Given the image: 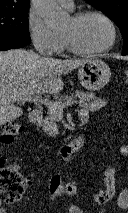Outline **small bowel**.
<instances>
[{
    "instance_id": "small-bowel-1",
    "label": "small bowel",
    "mask_w": 128,
    "mask_h": 213,
    "mask_svg": "<svg viewBox=\"0 0 128 213\" xmlns=\"http://www.w3.org/2000/svg\"><path fill=\"white\" fill-rule=\"evenodd\" d=\"M106 105V101L103 98H96L94 99L90 106L89 109H82L79 112L80 118L83 122H87L89 119V112L90 111H98L101 108H103ZM119 152L124 155L128 156V145H122L119 148ZM35 177V174H29L27 176V181L30 183L33 181ZM63 194V184L61 180V176L59 173L55 172L50 175L49 178V186H48V195L51 200H57L60 198ZM67 213H83L81 209L76 206L75 204H69L65 208ZM0 213H7L6 209L2 206L0 203Z\"/></svg>"
}]
</instances>
